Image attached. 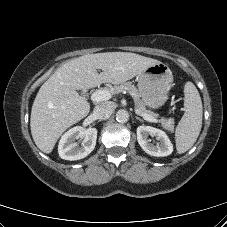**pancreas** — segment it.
<instances>
[{
  "label": "pancreas",
  "mask_w": 227,
  "mask_h": 227,
  "mask_svg": "<svg viewBox=\"0 0 227 227\" xmlns=\"http://www.w3.org/2000/svg\"><path fill=\"white\" fill-rule=\"evenodd\" d=\"M112 92L114 94L120 93V92H128L135 101L136 109L140 114H147L152 117H157L158 115L150 110H147L145 108L144 103L140 99L139 91L138 89L131 83V82H125L121 85L114 86L112 89ZM161 125L168 131L172 132L174 130V119L173 118H162L160 119Z\"/></svg>",
  "instance_id": "cf45deb5"
}]
</instances>
